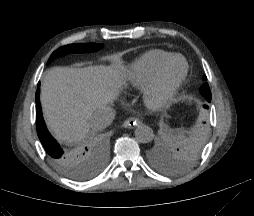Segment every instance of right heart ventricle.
Masks as SVG:
<instances>
[{
  "label": "right heart ventricle",
  "instance_id": "e07e8e85",
  "mask_svg": "<svg viewBox=\"0 0 254 216\" xmlns=\"http://www.w3.org/2000/svg\"><path fill=\"white\" fill-rule=\"evenodd\" d=\"M172 56L164 50H149L136 58L127 70L129 86L135 90L144 89L152 80L161 63Z\"/></svg>",
  "mask_w": 254,
  "mask_h": 216
}]
</instances>
